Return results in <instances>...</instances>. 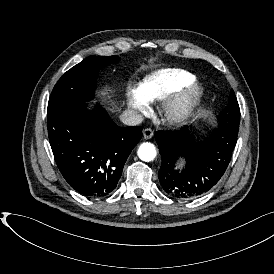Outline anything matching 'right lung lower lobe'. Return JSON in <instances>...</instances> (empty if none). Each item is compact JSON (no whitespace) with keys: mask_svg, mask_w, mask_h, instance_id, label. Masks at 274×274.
<instances>
[{"mask_svg":"<svg viewBox=\"0 0 274 274\" xmlns=\"http://www.w3.org/2000/svg\"><path fill=\"white\" fill-rule=\"evenodd\" d=\"M86 106L71 104L48 115V135L70 186L88 198H101L116 188L142 127H119L100 105L94 111Z\"/></svg>","mask_w":274,"mask_h":274,"instance_id":"1","label":"right lung lower lobe"}]
</instances>
